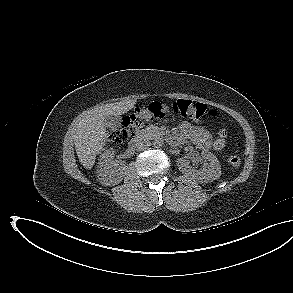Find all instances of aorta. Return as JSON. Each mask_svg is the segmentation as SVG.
<instances>
[{
  "instance_id": "aorta-1",
  "label": "aorta",
  "mask_w": 293,
  "mask_h": 293,
  "mask_svg": "<svg viewBox=\"0 0 293 293\" xmlns=\"http://www.w3.org/2000/svg\"><path fill=\"white\" fill-rule=\"evenodd\" d=\"M153 145L156 148H160L164 145V140L162 138L155 139Z\"/></svg>"
}]
</instances>
